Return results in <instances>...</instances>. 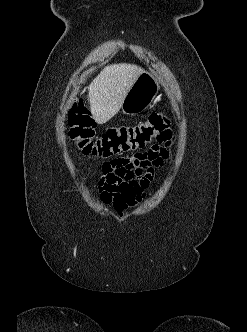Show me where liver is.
Returning <instances> with one entry per match:
<instances>
[{
    "label": "liver",
    "mask_w": 247,
    "mask_h": 332,
    "mask_svg": "<svg viewBox=\"0 0 247 332\" xmlns=\"http://www.w3.org/2000/svg\"><path fill=\"white\" fill-rule=\"evenodd\" d=\"M144 70L134 64L106 66L88 87L93 119L104 124L114 117L130 87Z\"/></svg>",
    "instance_id": "obj_1"
}]
</instances>
